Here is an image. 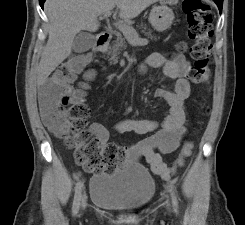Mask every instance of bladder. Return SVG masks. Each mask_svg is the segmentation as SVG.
Listing matches in <instances>:
<instances>
[{"instance_id":"31cf9c89","label":"bladder","mask_w":245,"mask_h":225,"mask_svg":"<svg viewBox=\"0 0 245 225\" xmlns=\"http://www.w3.org/2000/svg\"><path fill=\"white\" fill-rule=\"evenodd\" d=\"M155 189L146 168L135 162H122L114 172H98L91 177L90 201L96 208L136 211L150 203Z\"/></svg>"}]
</instances>
